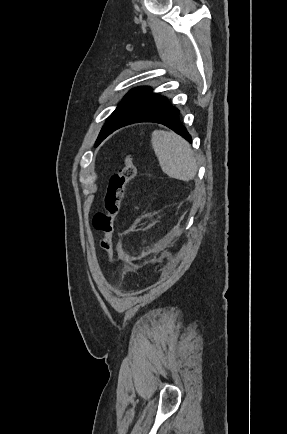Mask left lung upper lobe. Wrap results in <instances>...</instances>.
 <instances>
[{"mask_svg":"<svg viewBox=\"0 0 287 434\" xmlns=\"http://www.w3.org/2000/svg\"><path fill=\"white\" fill-rule=\"evenodd\" d=\"M165 98L153 94L150 87H137L131 90L107 119L96 140V145L118 129L132 115Z\"/></svg>","mask_w":287,"mask_h":434,"instance_id":"5c2ea615","label":"left lung upper lobe"}]
</instances>
